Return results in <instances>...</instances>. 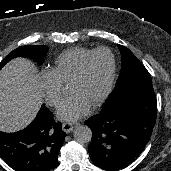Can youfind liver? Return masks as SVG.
<instances>
[{
	"mask_svg": "<svg viewBox=\"0 0 171 171\" xmlns=\"http://www.w3.org/2000/svg\"><path fill=\"white\" fill-rule=\"evenodd\" d=\"M44 97L37 68L16 58L0 71V131L25 128L38 113Z\"/></svg>",
	"mask_w": 171,
	"mask_h": 171,
	"instance_id": "obj_1",
	"label": "liver"
}]
</instances>
